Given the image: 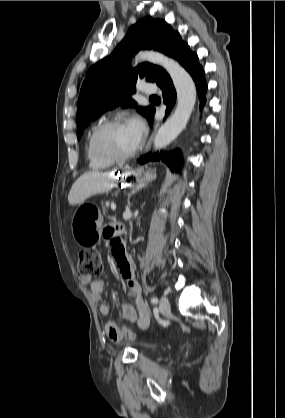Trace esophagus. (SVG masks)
<instances>
[{"mask_svg":"<svg viewBox=\"0 0 285 418\" xmlns=\"http://www.w3.org/2000/svg\"><path fill=\"white\" fill-rule=\"evenodd\" d=\"M156 130H157V127L154 129V131H153V132H152V134L150 135V137H149V139H148V142H147V144H146V146H145L144 153H146V152L148 151V149L150 148V145H151V142H152V139H153V137H154V134H155Z\"/></svg>","mask_w":285,"mask_h":418,"instance_id":"esophagus-1","label":"esophagus"}]
</instances>
